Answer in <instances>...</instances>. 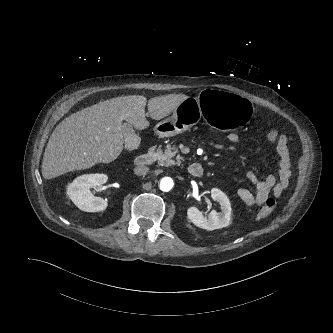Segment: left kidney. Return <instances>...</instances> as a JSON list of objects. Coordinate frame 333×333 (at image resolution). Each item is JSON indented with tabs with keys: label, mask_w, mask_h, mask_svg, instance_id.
Masks as SVG:
<instances>
[{
	"label": "left kidney",
	"mask_w": 333,
	"mask_h": 333,
	"mask_svg": "<svg viewBox=\"0 0 333 333\" xmlns=\"http://www.w3.org/2000/svg\"><path fill=\"white\" fill-rule=\"evenodd\" d=\"M211 197L221 205L222 211L220 213L212 210L209 216L206 217L196 207H190L187 210L188 218L194 225L206 230L229 226L231 223V204L227 195L218 188H212Z\"/></svg>",
	"instance_id": "5707ae66"
}]
</instances>
